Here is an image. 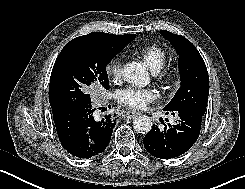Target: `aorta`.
<instances>
[{"label":"aorta","instance_id":"obj_1","mask_svg":"<svg viewBox=\"0 0 245 189\" xmlns=\"http://www.w3.org/2000/svg\"><path fill=\"white\" fill-rule=\"evenodd\" d=\"M125 81L140 87L146 86L150 79L145 67L137 62L128 63L122 71ZM134 130L138 133L147 134L152 128V122L147 116H137L133 120Z\"/></svg>","mask_w":245,"mask_h":189}]
</instances>
